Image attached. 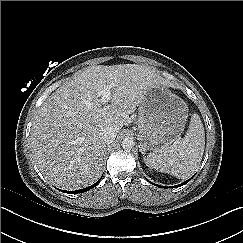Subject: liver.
Masks as SVG:
<instances>
[{
  "instance_id": "liver-1",
  "label": "liver",
  "mask_w": 243,
  "mask_h": 243,
  "mask_svg": "<svg viewBox=\"0 0 243 243\" xmlns=\"http://www.w3.org/2000/svg\"><path fill=\"white\" fill-rule=\"evenodd\" d=\"M110 84V104H103L101 91ZM155 85L174 87L153 67L119 64L90 66L60 86L31 128L30 148L43 176L65 190L94 183L102 172L104 129L119 131Z\"/></svg>"
}]
</instances>
